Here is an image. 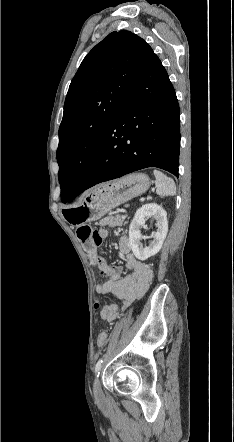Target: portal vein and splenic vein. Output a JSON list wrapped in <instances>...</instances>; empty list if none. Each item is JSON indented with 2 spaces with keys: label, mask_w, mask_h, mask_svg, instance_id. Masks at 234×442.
<instances>
[{
  "label": "portal vein and splenic vein",
  "mask_w": 234,
  "mask_h": 442,
  "mask_svg": "<svg viewBox=\"0 0 234 442\" xmlns=\"http://www.w3.org/2000/svg\"><path fill=\"white\" fill-rule=\"evenodd\" d=\"M144 200H145V198H141V199H140L141 202L144 201Z\"/></svg>",
  "instance_id": "portal-vein-and-splenic-vein-1"
}]
</instances>
